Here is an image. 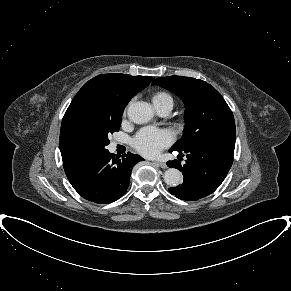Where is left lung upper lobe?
Segmentation results:
<instances>
[{
  "mask_svg": "<svg viewBox=\"0 0 291 291\" xmlns=\"http://www.w3.org/2000/svg\"><path fill=\"white\" fill-rule=\"evenodd\" d=\"M152 84L176 93L185 104L184 134L171 149L184 150L211 141H235L233 114L210 84L183 76L157 78Z\"/></svg>",
  "mask_w": 291,
  "mask_h": 291,
  "instance_id": "left-lung-upper-lobe-1",
  "label": "left lung upper lobe"
}]
</instances>
